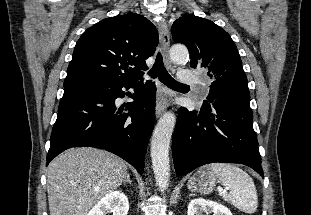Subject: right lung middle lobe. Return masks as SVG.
Wrapping results in <instances>:
<instances>
[{
    "mask_svg": "<svg viewBox=\"0 0 311 215\" xmlns=\"http://www.w3.org/2000/svg\"><path fill=\"white\" fill-rule=\"evenodd\" d=\"M77 85H84V84H77ZM77 85H72V86H77Z\"/></svg>",
    "mask_w": 311,
    "mask_h": 215,
    "instance_id": "right-lung-middle-lobe-1",
    "label": "right lung middle lobe"
}]
</instances>
